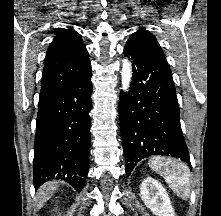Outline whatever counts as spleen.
<instances>
[{"instance_id": "spleen-1", "label": "spleen", "mask_w": 221, "mask_h": 216, "mask_svg": "<svg viewBox=\"0 0 221 216\" xmlns=\"http://www.w3.org/2000/svg\"><path fill=\"white\" fill-rule=\"evenodd\" d=\"M149 166L164 177L178 197L186 200L190 196L189 168L185 163L171 158L154 157L150 160Z\"/></svg>"}]
</instances>
